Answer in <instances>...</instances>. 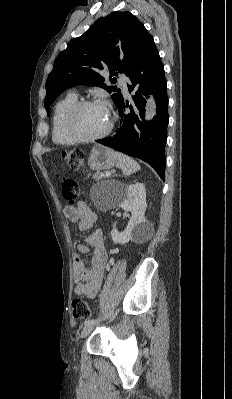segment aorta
<instances>
[{"instance_id": "obj_1", "label": "aorta", "mask_w": 232, "mask_h": 399, "mask_svg": "<svg viewBox=\"0 0 232 399\" xmlns=\"http://www.w3.org/2000/svg\"><path fill=\"white\" fill-rule=\"evenodd\" d=\"M156 114V105L154 100H149L146 106V120H150Z\"/></svg>"}]
</instances>
